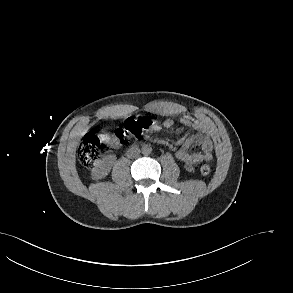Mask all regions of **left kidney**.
Listing matches in <instances>:
<instances>
[{
  "label": "left kidney",
  "mask_w": 293,
  "mask_h": 293,
  "mask_svg": "<svg viewBox=\"0 0 293 293\" xmlns=\"http://www.w3.org/2000/svg\"><path fill=\"white\" fill-rule=\"evenodd\" d=\"M186 170H188L189 172H193L194 171V168L192 166H187L186 167Z\"/></svg>",
  "instance_id": "left-kidney-1"
}]
</instances>
